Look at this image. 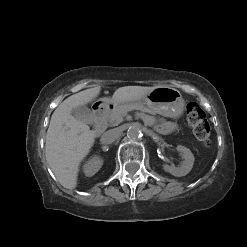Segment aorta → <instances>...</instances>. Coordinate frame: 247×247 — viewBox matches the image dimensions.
Masks as SVG:
<instances>
[{"instance_id": "762f6f07", "label": "aorta", "mask_w": 247, "mask_h": 247, "mask_svg": "<svg viewBox=\"0 0 247 247\" xmlns=\"http://www.w3.org/2000/svg\"><path fill=\"white\" fill-rule=\"evenodd\" d=\"M141 130L136 126H131L127 130V136L131 140H137L141 137Z\"/></svg>"}]
</instances>
